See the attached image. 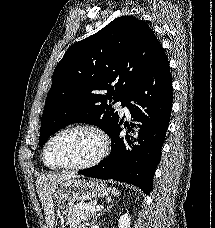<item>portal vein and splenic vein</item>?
Instances as JSON below:
<instances>
[{
  "mask_svg": "<svg viewBox=\"0 0 215 228\" xmlns=\"http://www.w3.org/2000/svg\"><path fill=\"white\" fill-rule=\"evenodd\" d=\"M78 210H88V212H99L101 206H87V204H79Z\"/></svg>",
  "mask_w": 215,
  "mask_h": 228,
  "instance_id": "1",
  "label": "portal vein and splenic vein"
}]
</instances>
